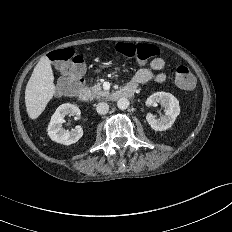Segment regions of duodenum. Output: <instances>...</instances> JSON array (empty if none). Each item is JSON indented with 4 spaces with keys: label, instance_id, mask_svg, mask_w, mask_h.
<instances>
[{
    "label": "duodenum",
    "instance_id": "obj_1",
    "mask_svg": "<svg viewBox=\"0 0 232 232\" xmlns=\"http://www.w3.org/2000/svg\"><path fill=\"white\" fill-rule=\"evenodd\" d=\"M135 93V88L132 86H125L121 89L113 91L109 94V99L112 101H117L120 99L131 98ZM76 95L80 101L86 102L89 100V93L84 87H80L76 92Z\"/></svg>",
    "mask_w": 232,
    "mask_h": 232
}]
</instances>
